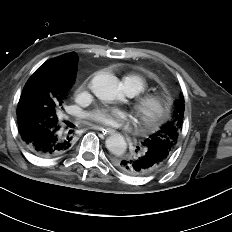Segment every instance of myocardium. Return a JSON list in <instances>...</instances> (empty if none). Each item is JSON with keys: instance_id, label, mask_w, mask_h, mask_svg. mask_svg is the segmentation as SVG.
Segmentation results:
<instances>
[{"instance_id": "f54148a6", "label": "myocardium", "mask_w": 232, "mask_h": 232, "mask_svg": "<svg viewBox=\"0 0 232 232\" xmlns=\"http://www.w3.org/2000/svg\"><path fill=\"white\" fill-rule=\"evenodd\" d=\"M133 109L139 124L145 128H151L165 119L168 101L162 94L145 93L135 100Z\"/></svg>"}]
</instances>
